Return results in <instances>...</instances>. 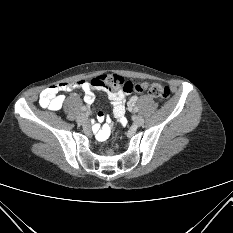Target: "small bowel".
<instances>
[{"mask_svg":"<svg viewBox=\"0 0 233 233\" xmlns=\"http://www.w3.org/2000/svg\"><path fill=\"white\" fill-rule=\"evenodd\" d=\"M104 80V77L100 75L89 81L64 82L50 86L40 93L39 104L43 108L57 111L61 109L64 102V95L61 94V92H69L78 88L84 93L85 103L90 105L95 100L94 90H100L112 103V117L118 119L121 125H125L127 122L125 117V100L127 93L122 90L109 89L107 85L103 84ZM137 101L138 98L135 95L129 98L128 107L126 108L129 114L135 111L133 106ZM93 117H97L99 123L107 120V123L103 126L98 125V122H93V131L96 133L97 138L99 140H105L111 132V117L106 116L102 109L99 112H93Z\"/></svg>","mask_w":233,"mask_h":233,"instance_id":"c3829d8e","label":"small bowel"}]
</instances>
